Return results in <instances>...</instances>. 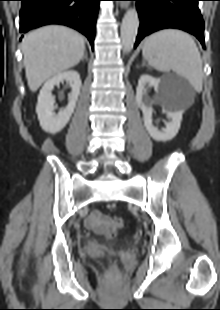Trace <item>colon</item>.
<instances>
[{
  "instance_id": "colon-1",
  "label": "colon",
  "mask_w": 220,
  "mask_h": 310,
  "mask_svg": "<svg viewBox=\"0 0 220 310\" xmlns=\"http://www.w3.org/2000/svg\"><path fill=\"white\" fill-rule=\"evenodd\" d=\"M123 220L122 218L115 217L112 219H108L106 223V230H105V236L107 239L112 240L115 238L117 231L120 230L123 227Z\"/></svg>"
}]
</instances>
